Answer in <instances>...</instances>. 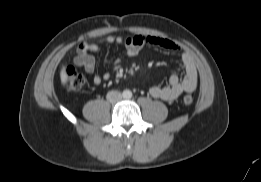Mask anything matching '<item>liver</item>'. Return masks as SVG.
<instances>
[{"mask_svg": "<svg viewBox=\"0 0 261 182\" xmlns=\"http://www.w3.org/2000/svg\"><path fill=\"white\" fill-rule=\"evenodd\" d=\"M65 66L62 67V70H61V73H60V78H61V83L63 85H65L67 83V80H68V76L67 74L65 73Z\"/></svg>", "mask_w": 261, "mask_h": 182, "instance_id": "6515ba94", "label": "liver"}]
</instances>
